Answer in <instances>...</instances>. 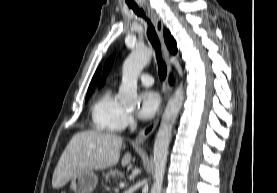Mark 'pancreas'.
Listing matches in <instances>:
<instances>
[{"mask_svg":"<svg viewBox=\"0 0 277 193\" xmlns=\"http://www.w3.org/2000/svg\"><path fill=\"white\" fill-rule=\"evenodd\" d=\"M103 177L107 180L109 179L110 177L115 179H122L124 177V174L123 172L119 171V170H116V169H110V170H107L105 172H103Z\"/></svg>","mask_w":277,"mask_h":193,"instance_id":"cf45deb5","label":"pancreas"}]
</instances>
